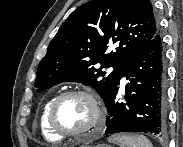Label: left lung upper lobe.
<instances>
[{
	"mask_svg": "<svg viewBox=\"0 0 183 147\" xmlns=\"http://www.w3.org/2000/svg\"><path fill=\"white\" fill-rule=\"evenodd\" d=\"M157 32L149 0L90 1L68 17L50 42L34 87L81 82L106 103L125 62ZM111 67L113 71H105Z\"/></svg>",
	"mask_w": 183,
	"mask_h": 147,
	"instance_id": "left-lung-upper-lobe-1",
	"label": "left lung upper lobe"
}]
</instances>
